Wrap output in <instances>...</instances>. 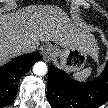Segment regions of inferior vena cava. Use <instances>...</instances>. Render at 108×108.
<instances>
[{"mask_svg":"<svg viewBox=\"0 0 108 108\" xmlns=\"http://www.w3.org/2000/svg\"><path fill=\"white\" fill-rule=\"evenodd\" d=\"M22 53H27L32 51V47L30 45H23L20 47Z\"/></svg>","mask_w":108,"mask_h":108,"instance_id":"602c4592","label":"inferior vena cava"}]
</instances>
